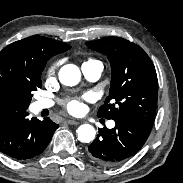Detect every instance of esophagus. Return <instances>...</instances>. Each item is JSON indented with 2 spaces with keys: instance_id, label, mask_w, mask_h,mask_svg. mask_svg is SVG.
I'll return each mask as SVG.
<instances>
[{
  "instance_id": "obj_1",
  "label": "esophagus",
  "mask_w": 183,
  "mask_h": 183,
  "mask_svg": "<svg viewBox=\"0 0 183 183\" xmlns=\"http://www.w3.org/2000/svg\"><path fill=\"white\" fill-rule=\"evenodd\" d=\"M65 123L69 124V125H76L78 124V121L76 119H66Z\"/></svg>"
}]
</instances>
